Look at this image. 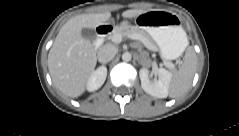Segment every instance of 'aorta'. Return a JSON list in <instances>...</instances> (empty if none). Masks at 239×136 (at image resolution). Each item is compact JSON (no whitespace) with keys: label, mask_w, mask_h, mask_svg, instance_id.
<instances>
[{"label":"aorta","mask_w":239,"mask_h":136,"mask_svg":"<svg viewBox=\"0 0 239 136\" xmlns=\"http://www.w3.org/2000/svg\"><path fill=\"white\" fill-rule=\"evenodd\" d=\"M131 59H132L131 53H129V52H124V53L122 54V60H123V61L128 62V61H130Z\"/></svg>","instance_id":"aorta-1"}]
</instances>
